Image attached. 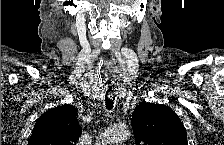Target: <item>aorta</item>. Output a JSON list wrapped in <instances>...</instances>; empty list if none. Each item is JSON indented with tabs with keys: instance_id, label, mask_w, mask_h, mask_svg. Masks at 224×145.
I'll use <instances>...</instances> for the list:
<instances>
[{
	"instance_id": "762f6f07",
	"label": "aorta",
	"mask_w": 224,
	"mask_h": 145,
	"mask_svg": "<svg viewBox=\"0 0 224 145\" xmlns=\"http://www.w3.org/2000/svg\"><path fill=\"white\" fill-rule=\"evenodd\" d=\"M130 136L129 128L124 124L108 127L102 134V144L112 145L126 140Z\"/></svg>"
}]
</instances>
